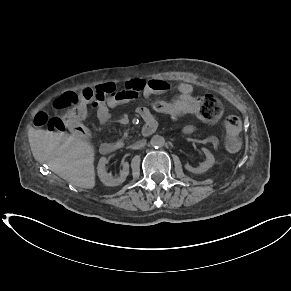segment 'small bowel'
<instances>
[{
    "label": "small bowel",
    "mask_w": 291,
    "mask_h": 291,
    "mask_svg": "<svg viewBox=\"0 0 291 291\" xmlns=\"http://www.w3.org/2000/svg\"><path fill=\"white\" fill-rule=\"evenodd\" d=\"M170 88L171 85L167 81L162 79L145 80L143 78H132L125 84V88L123 90L116 91V93L112 97H107L102 101L94 103L97 119L100 123H104L110 117L109 113L110 108H115L123 103H126L132 99L137 98L140 95L149 97L153 94L164 93L168 91ZM176 90L178 92V95L174 100H177V98H195L193 96L192 86L188 83L181 82L177 84ZM154 109L157 112L164 113L172 117L185 116L182 113L175 114L166 111H159L156 109L155 104ZM137 111L144 119H147L149 116H152L150 110L146 107H139ZM192 130H193L192 125H188L184 128V131L186 133H190L192 132Z\"/></svg>",
    "instance_id": "obj_1"
}]
</instances>
